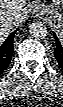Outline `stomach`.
<instances>
[{
	"instance_id": "stomach-1",
	"label": "stomach",
	"mask_w": 63,
	"mask_h": 107,
	"mask_svg": "<svg viewBox=\"0 0 63 107\" xmlns=\"http://www.w3.org/2000/svg\"><path fill=\"white\" fill-rule=\"evenodd\" d=\"M45 13L50 16L54 22V27L62 32L63 31V0H54L49 5H43Z\"/></svg>"
}]
</instances>
